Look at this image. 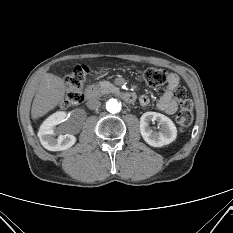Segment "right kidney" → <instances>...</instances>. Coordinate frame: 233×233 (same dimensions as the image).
Returning <instances> with one entry per match:
<instances>
[{
    "instance_id": "ca27d5eb",
    "label": "right kidney",
    "mask_w": 233,
    "mask_h": 233,
    "mask_svg": "<svg viewBox=\"0 0 233 233\" xmlns=\"http://www.w3.org/2000/svg\"><path fill=\"white\" fill-rule=\"evenodd\" d=\"M67 118L66 112L58 111L49 116L40 126L38 137L44 148L49 151H62L72 147L76 138L72 134L62 135L64 130L56 126ZM59 134L58 138L55 135Z\"/></svg>"
}]
</instances>
